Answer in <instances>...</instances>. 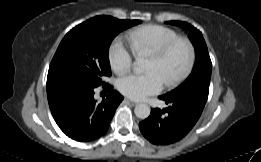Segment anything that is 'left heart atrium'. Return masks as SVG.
<instances>
[{"instance_id": "obj_1", "label": "left heart atrium", "mask_w": 261, "mask_h": 162, "mask_svg": "<svg viewBox=\"0 0 261 162\" xmlns=\"http://www.w3.org/2000/svg\"><path fill=\"white\" fill-rule=\"evenodd\" d=\"M164 84L165 81L157 70H151L143 74H127L120 77L116 83L118 90L122 94L135 100H141L159 93Z\"/></svg>"}]
</instances>
